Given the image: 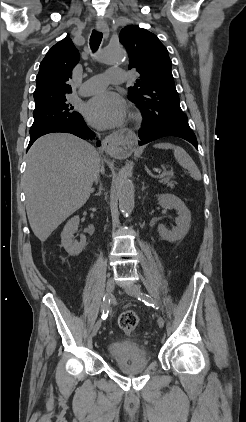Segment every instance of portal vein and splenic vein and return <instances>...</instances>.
Returning a JSON list of instances; mask_svg holds the SVG:
<instances>
[{
    "instance_id": "18ae733b",
    "label": "portal vein and splenic vein",
    "mask_w": 246,
    "mask_h": 422,
    "mask_svg": "<svg viewBox=\"0 0 246 422\" xmlns=\"http://www.w3.org/2000/svg\"><path fill=\"white\" fill-rule=\"evenodd\" d=\"M168 173L166 172V171H164V172H162L161 174H159V175H157L156 177L158 178H161V177H164V176H166Z\"/></svg>"
}]
</instances>
